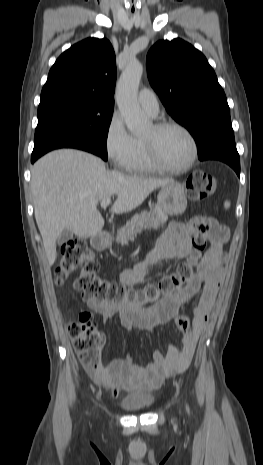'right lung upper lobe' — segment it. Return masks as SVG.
<instances>
[{
    "instance_id": "1",
    "label": "right lung upper lobe",
    "mask_w": 263,
    "mask_h": 465,
    "mask_svg": "<svg viewBox=\"0 0 263 465\" xmlns=\"http://www.w3.org/2000/svg\"><path fill=\"white\" fill-rule=\"evenodd\" d=\"M115 53L106 39L87 38L66 50L50 69L40 103L71 98L114 106Z\"/></svg>"
}]
</instances>
